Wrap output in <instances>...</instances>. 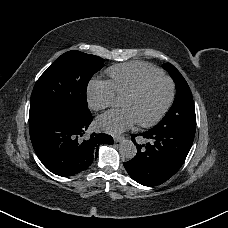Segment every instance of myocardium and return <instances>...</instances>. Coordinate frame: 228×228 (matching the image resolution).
<instances>
[{"label":"myocardium","mask_w":228,"mask_h":228,"mask_svg":"<svg viewBox=\"0 0 228 228\" xmlns=\"http://www.w3.org/2000/svg\"><path fill=\"white\" fill-rule=\"evenodd\" d=\"M157 81H164L167 83V86H168L167 97H166L162 107L160 108L159 112L151 120L146 121V122L138 121V125H140L142 127L154 126L163 118V116L167 112V110L172 102L173 94H174V86H173L172 81L165 76L153 77V78L145 80L135 91H133L132 93H130L126 96V98H136L141 94V92L145 88H147L149 85H151L152 83L157 82Z\"/></svg>","instance_id":"obj_1"}]
</instances>
